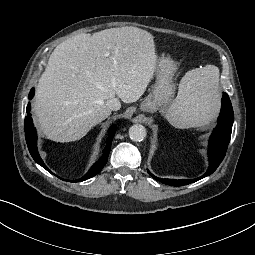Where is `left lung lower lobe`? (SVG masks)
<instances>
[{
  "label": "left lung lower lobe",
  "instance_id": "0a47b994",
  "mask_svg": "<svg viewBox=\"0 0 255 255\" xmlns=\"http://www.w3.org/2000/svg\"><path fill=\"white\" fill-rule=\"evenodd\" d=\"M233 120H234V114H233L231 101L229 99V96L226 93H223L222 107H221L220 116L218 118V124H217V127L214 129L209 140L208 155H209L210 164H209L208 170L202 176L195 179H191V180H184V179L172 180V179L157 178L156 176L151 174L149 171L148 173L157 181H160L164 184H168L171 186L187 185L212 174L220 165V163L222 162L226 154L228 144L230 142Z\"/></svg>",
  "mask_w": 255,
  "mask_h": 255
}]
</instances>
